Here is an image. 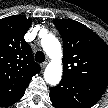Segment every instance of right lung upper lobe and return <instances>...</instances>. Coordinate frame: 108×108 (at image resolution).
I'll return each instance as SVG.
<instances>
[{"label":"right lung upper lobe","instance_id":"obj_1","mask_svg":"<svg viewBox=\"0 0 108 108\" xmlns=\"http://www.w3.org/2000/svg\"><path fill=\"white\" fill-rule=\"evenodd\" d=\"M31 23L18 15L0 20V105L22 97L32 77L41 70L24 39Z\"/></svg>","mask_w":108,"mask_h":108}]
</instances>
